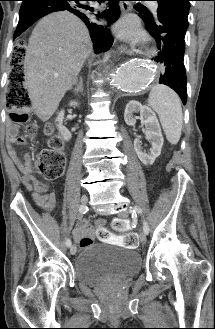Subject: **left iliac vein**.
I'll list each match as a JSON object with an SVG mask.
<instances>
[{
	"label": "left iliac vein",
	"mask_w": 215,
	"mask_h": 329,
	"mask_svg": "<svg viewBox=\"0 0 215 329\" xmlns=\"http://www.w3.org/2000/svg\"><path fill=\"white\" fill-rule=\"evenodd\" d=\"M128 215H129V211L128 210H121L118 213V216L121 217V218H126V217H128ZM140 241L143 244L146 243V234H145L144 230H141L140 231Z\"/></svg>",
	"instance_id": "obj_1"
}]
</instances>
